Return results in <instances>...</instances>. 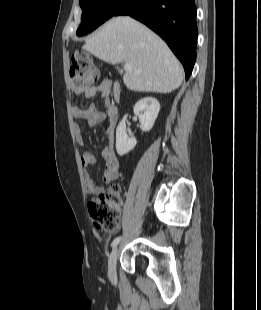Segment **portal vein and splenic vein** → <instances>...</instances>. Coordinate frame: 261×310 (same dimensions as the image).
I'll list each match as a JSON object with an SVG mask.
<instances>
[{
    "label": "portal vein and splenic vein",
    "mask_w": 261,
    "mask_h": 310,
    "mask_svg": "<svg viewBox=\"0 0 261 310\" xmlns=\"http://www.w3.org/2000/svg\"><path fill=\"white\" fill-rule=\"evenodd\" d=\"M131 69V65L130 64H125L124 65V70L125 71H128V70H130Z\"/></svg>",
    "instance_id": "18ae733b"
}]
</instances>
